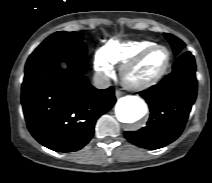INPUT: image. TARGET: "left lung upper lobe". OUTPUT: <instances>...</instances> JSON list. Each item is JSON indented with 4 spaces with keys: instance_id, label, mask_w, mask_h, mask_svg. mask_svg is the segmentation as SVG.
<instances>
[{
    "instance_id": "1",
    "label": "left lung upper lobe",
    "mask_w": 212,
    "mask_h": 183,
    "mask_svg": "<svg viewBox=\"0 0 212 183\" xmlns=\"http://www.w3.org/2000/svg\"><path fill=\"white\" fill-rule=\"evenodd\" d=\"M164 36L167 38V40L172 45L174 54L180 55L183 51V48L185 47L184 42L172 34L164 33Z\"/></svg>"
}]
</instances>
